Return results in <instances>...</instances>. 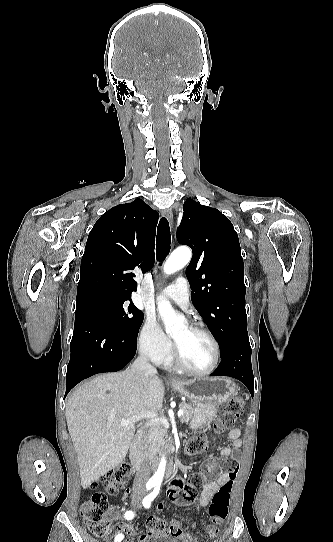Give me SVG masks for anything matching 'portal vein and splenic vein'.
I'll list each match as a JSON object with an SVG mask.
<instances>
[{
    "label": "portal vein and splenic vein",
    "instance_id": "portal-vein-and-splenic-vein-1",
    "mask_svg": "<svg viewBox=\"0 0 333 542\" xmlns=\"http://www.w3.org/2000/svg\"><path fill=\"white\" fill-rule=\"evenodd\" d=\"M183 414V410H179V412H177L178 418H181ZM156 416H158L157 410H150V412H140L138 416H133V418H130V420H121V426H129V424H133V422H139V420H143V418H156Z\"/></svg>",
    "mask_w": 333,
    "mask_h": 542
}]
</instances>
